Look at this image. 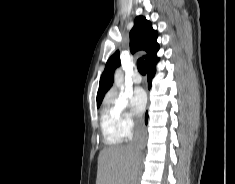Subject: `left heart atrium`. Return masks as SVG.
Wrapping results in <instances>:
<instances>
[{
	"label": "left heart atrium",
	"instance_id": "obj_1",
	"mask_svg": "<svg viewBox=\"0 0 235 184\" xmlns=\"http://www.w3.org/2000/svg\"><path fill=\"white\" fill-rule=\"evenodd\" d=\"M147 97L142 88H135L130 95V105L132 113L135 117L139 118L146 106Z\"/></svg>",
	"mask_w": 235,
	"mask_h": 184
}]
</instances>
